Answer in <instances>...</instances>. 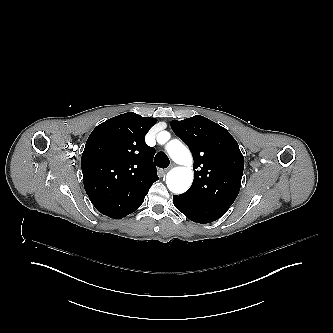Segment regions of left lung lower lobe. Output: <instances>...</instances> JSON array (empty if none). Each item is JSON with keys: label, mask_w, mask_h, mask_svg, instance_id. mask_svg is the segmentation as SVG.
Returning <instances> with one entry per match:
<instances>
[{"label": "left lung lower lobe", "mask_w": 333, "mask_h": 333, "mask_svg": "<svg viewBox=\"0 0 333 333\" xmlns=\"http://www.w3.org/2000/svg\"><path fill=\"white\" fill-rule=\"evenodd\" d=\"M175 207L188 219L197 223H209L219 219L228 209L203 205L192 200L186 199L181 195L173 196Z\"/></svg>", "instance_id": "0a47b994"}]
</instances>
